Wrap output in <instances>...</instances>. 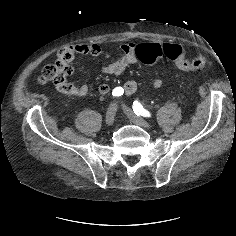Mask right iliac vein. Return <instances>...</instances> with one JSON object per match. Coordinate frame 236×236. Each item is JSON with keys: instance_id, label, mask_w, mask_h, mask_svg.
<instances>
[{"instance_id": "1", "label": "right iliac vein", "mask_w": 236, "mask_h": 236, "mask_svg": "<svg viewBox=\"0 0 236 236\" xmlns=\"http://www.w3.org/2000/svg\"><path fill=\"white\" fill-rule=\"evenodd\" d=\"M116 111H117L116 104H111L108 107V110H107V113H106V124L108 126H112L113 125Z\"/></svg>"}]
</instances>
